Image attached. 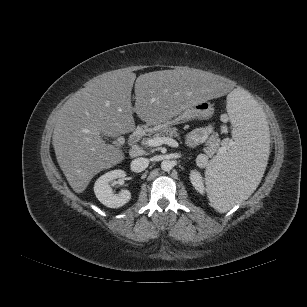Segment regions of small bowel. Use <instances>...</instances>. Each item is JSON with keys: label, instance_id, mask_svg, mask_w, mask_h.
I'll list each match as a JSON object with an SVG mask.
<instances>
[{"label": "small bowel", "instance_id": "c3829d8e", "mask_svg": "<svg viewBox=\"0 0 307 307\" xmlns=\"http://www.w3.org/2000/svg\"><path fill=\"white\" fill-rule=\"evenodd\" d=\"M213 131V126L208 125L206 127L198 128L193 130L187 136V143L191 146L203 143L208 135Z\"/></svg>", "mask_w": 307, "mask_h": 307}]
</instances>
